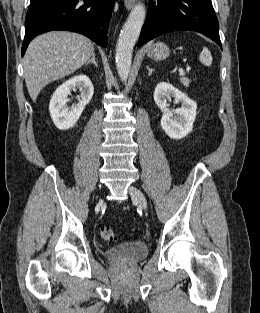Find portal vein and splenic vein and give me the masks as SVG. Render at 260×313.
Wrapping results in <instances>:
<instances>
[{
    "instance_id": "obj_1",
    "label": "portal vein and splenic vein",
    "mask_w": 260,
    "mask_h": 313,
    "mask_svg": "<svg viewBox=\"0 0 260 313\" xmlns=\"http://www.w3.org/2000/svg\"><path fill=\"white\" fill-rule=\"evenodd\" d=\"M187 70H190V67H187ZM184 74V70L183 69H179V75H183Z\"/></svg>"
}]
</instances>
